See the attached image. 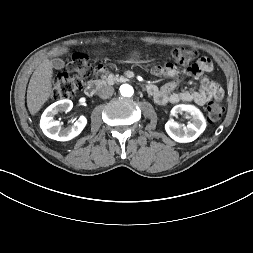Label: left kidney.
Segmentation results:
<instances>
[{"mask_svg":"<svg viewBox=\"0 0 253 253\" xmlns=\"http://www.w3.org/2000/svg\"><path fill=\"white\" fill-rule=\"evenodd\" d=\"M186 113L190 115L191 121L186 127L181 126L173 119L165 124L167 134L176 142L188 143L199 137L206 128V121L202 112L193 105L179 104L172 108L171 115Z\"/></svg>","mask_w":253,"mask_h":253,"instance_id":"obj_1","label":"left kidney"}]
</instances>
